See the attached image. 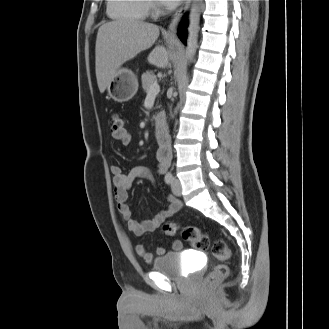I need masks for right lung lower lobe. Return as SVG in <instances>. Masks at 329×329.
Returning a JSON list of instances; mask_svg holds the SVG:
<instances>
[{"label":"right lung lower lobe","instance_id":"98d812e1","mask_svg":"<svg viewBox=\"0 0 329 329\" xmlns=\"http://www.w3.org/2000/svg\"><path fill=\"white\" fill-rule=\"evenodd\" d=\"M187 21L183 20L178 28V37L181 39V41L185 44L186 38H187Z\"/></svg>","mask_w":329,"mask_h":329}]
</instances>
